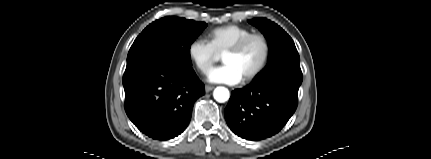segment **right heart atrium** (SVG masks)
Here are the masks:
<instances>
[{
    "label": "right heart atrium",
    "mask_w": 431,
    "mask_h": 159,
    "mask_svg": "<svg viewBox=\"0 0 431 159\" xmlns=\"http://www.w3.org/2000/svg\"><path fill=\"white\" fill-rule=\"evenodd\" d=\"M187 54L190 61L203 74H207L218 59V54L211 43L200 37L189 43Z\"/></svg>",
    "instance_id": "d8ad5b80"
}]
</instances>
